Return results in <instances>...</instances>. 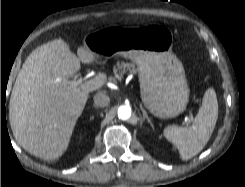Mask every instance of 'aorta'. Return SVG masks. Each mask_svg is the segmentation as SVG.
<instances>
[{
  "label": "aorta",
  "mask_w": 245,
  "mask_h": 187,
  "mask_svg": "<svg viewBox=\"0 0 245 187\" xmlns=\"http://www.w3.org/2000/svg\"><path fill=\"white\" fill-rule=\"evenodd\" d=\"M131 116V108L129 106H120L118 108L119 119L126 120Z\"/></svg>",
  "instance_id": "1"
}]
</instances>
